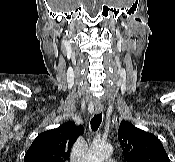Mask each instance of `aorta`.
<instances>
[{
	"label": "aorta",
	"mask_w": 175,
	"mask_h": 162,
	"mask_svg": "<svg viewBox=\"0 0 175 162\" xmlns=\"http://www.w3.org/2000/svg\"><path fill=\"white\" fill-rule=\"evenodd\" d=\"M112 151V146L106 142H93L84 162H103L111 155Z\"/></svg>",
	"instance_id": "aorta-1"
}]
</instances>
